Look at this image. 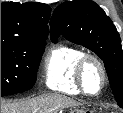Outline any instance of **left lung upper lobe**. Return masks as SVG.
Masks as SVG:
<instances>
[{
  "instance_id": "1",
  "label": "left lung upper lobe",
  "mask_w": 123,
  "mask_h": 113,
  "mask_svg": "<svg viewBox=\"0 0 123 113\" xmlns=\"http://www.w3.org/2000/svg\"><path fill=\"white\" fill-rule=\"evenodd\" d=\"M51 40L66 39L95 52L103 61L115 99L123 108V51L116 27L102 8L91 0L59 5L50 21Z\"/></svg>"
}]
</instances>
